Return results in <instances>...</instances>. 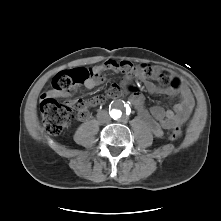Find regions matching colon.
<instances>
[{
	"label": "colon",
	"instance_id": "5ec220e1",
	"mask_svg": "<svg viewBox=\"0 0 221 221\" xmlns=\"http://www.w3.org/2000/svg\"><path fill=\"white\" fill-rule=\"evenodd\" d=\"M138 69L144 76L156 78L162 85L171 86L173 88H179L181 86L180 80L167 71L156 70L147 64L140 65ZM92 76V69L73 68L60 71L52 77L49 91L44 93L40 100V110L44 126L49 133L58 134L62 132L74 117L72 107L56 100L54 98L56 96L52 95V92L60 93L69 91ZM129 90L130 92H135V88L132 85H130ZM119 93L120 90H117L115 95ZM179 137L180 130L174 128L170 138L177 140Z\"/></svg>",
	"mask_w": 221,
	"mask_h": 221
}]
</instances>
